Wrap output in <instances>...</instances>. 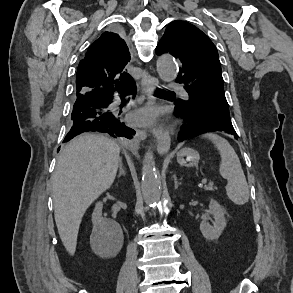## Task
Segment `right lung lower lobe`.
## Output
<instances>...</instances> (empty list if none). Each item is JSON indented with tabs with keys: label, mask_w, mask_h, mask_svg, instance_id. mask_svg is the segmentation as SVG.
Segmentation results:
<instances>
[{
	"label": "right lung lower lobe",
	"mask_w": 293,
	"mask_h": 293,
	"mask_svg": "<svg viewBox=\"0 0 293 293\" xmlns=\"http://www.w3.org/2000/svg\"><path fill=\"white\" fill-rule=\"evenodd\" d=\"M114 93L135 94L134 81L124 89L110 90L98 89L86 92H77L71 119L73 126L63 142H68L76 135L88 131L108 133L113 137H126L130 139L135 131L121 122L120 113L110 109Z\"/></svg>",
	"instance_id": "98d812e1"
}]
</instances>
